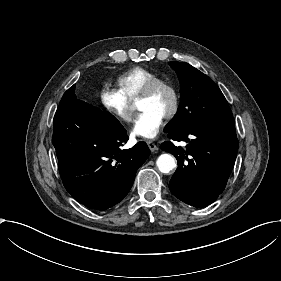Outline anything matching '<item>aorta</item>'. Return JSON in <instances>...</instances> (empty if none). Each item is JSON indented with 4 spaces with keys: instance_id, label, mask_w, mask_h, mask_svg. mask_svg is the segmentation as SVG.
Wrapping results in <instances>:
<instances>
[{
    "instance_id": "aorta-1",
    "label": "aorta",
    "mask_w": 281,
    "mask_h": 281,
    "mask_svg": "<svg viewBox=\"0 0 281 281\" xmlns=\"http://www.w3.org/2000/svg\"><path fill=\"white\" fill-rule=\"evenodd\" d=\"M156 165L161 173H169L176 167V160L171 154H161Z\"/></svg>"
}]
</instances>
